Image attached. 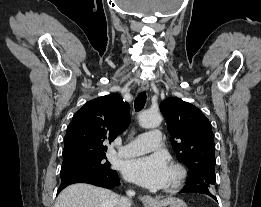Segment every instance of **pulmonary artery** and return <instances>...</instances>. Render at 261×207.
Returning a JSON list of instances; mask_svg holds the SVG:
<instances>
[{"label":"pulmonary artery","mask_w":261,"mask_h":207,"mask_svg":"<svg viewBox=\"0 0 261 207\" xmlns=\"http://www.w3.org/2000/svg\"><path fill=\"white\" fill-rule=\"evenodd\" d=\"M161 146V132L159 130H152L141 134L133 141L119 149L118 155L120 157H134L153 150Z\"/></svg>","instance_id":"pulmonary-artery-1"}]
</instances>
